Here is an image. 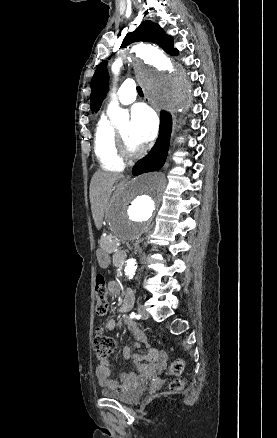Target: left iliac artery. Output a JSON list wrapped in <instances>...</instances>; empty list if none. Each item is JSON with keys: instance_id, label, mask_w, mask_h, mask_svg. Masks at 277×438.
<instances>
[{"instance_id": "1", "label": "left iliac artery", "mask_w": 277, "mask_h": 438, "mask_svg": "<svg viewBox=\"0 0 277 438\" xmlns=\"http://www.w3.org/2000/svg\"><path fill=\"white\" fill-rule=\"evenodd\" d=\"M130 317H131V318H137V319H139V318H140V315L136 314L135 312H132V313L130 314Z\"/></svg>"}]
</instances>
